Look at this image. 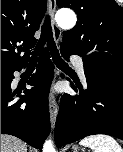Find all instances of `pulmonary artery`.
<instances>
[{
  "instance_id": "e3ab8cb5",
  "label": "pulmonary artery",
  "mask_w": 123,
  "mask_h": 152,
  "mask_svg": "<svg viewBox=\"0 0 123 152\" xmlns=\"http://www.w3.org/2000/svg\"><path fill=\"white\" fill-rule=\"evenodd\" d=\"M72 62L74 63L78 74L82 78H85L84 66H83L82 60L79 57H72Z\"/></svg>"
}]
</instances>
